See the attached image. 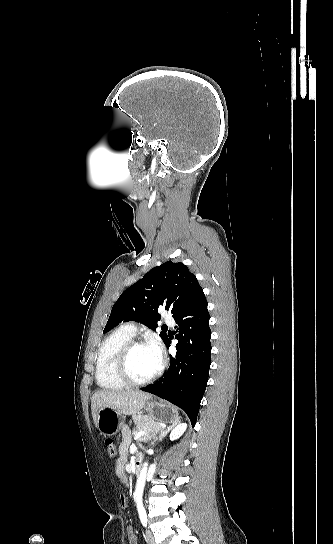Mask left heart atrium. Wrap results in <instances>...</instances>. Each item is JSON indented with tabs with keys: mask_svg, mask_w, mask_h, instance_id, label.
Returning a JSON list of instances; mask_svg holds the SVG:
<instances>
[{
	"mask_svg": "<svg viewBox=\"0 0 333 544\" xmlns=\"http://www.w3.org/2000/svg\"><path fill=\"white\" fill-rule=\"evenodd\" d=\"M152 350L154 351L157 359L161 362L162 360V350H161V347L158 343H153L150 345Z\"/></svg>",
	"mask_w": 333,
	"mask_h": 544,
	"instance_id": "39dd6f15",
	"label": "left heart atrium"
}]
</instances>
